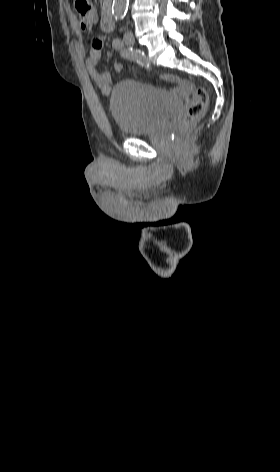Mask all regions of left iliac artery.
<instances>
[{"mask_svg": "<svg viewBox=\"0 0 280 472\" xmlns=\"http://www.w3.org/2000/svg\"><path fill=\"white\" fill-rule=\"evenodd\" d=\"M113 47L116 48V49H121L123 47V42L121 39L119 38H116L114 41H113Z\"/></svg>", "mask_w": 280, "mask_h": 472, "instance_id": "left-iliac-artery-1", "label": "left iliac artery"}]
</instances>
